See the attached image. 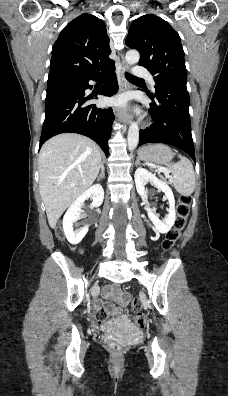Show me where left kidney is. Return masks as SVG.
Segmentation results:
<instances>
[{"instance_id":"left-kidney-1","label":"left kidney","mask_w":228,"mask_h":396,"mask_svg":"<svg viewBox=\"0 0 228 396\" xmlns=\"http://www.w3.org/2000/svg\"><path fill=\"white\" fill-rule=\"evenodd\" d=\"M134 178L137 192L144 201V204H147V191L145 189V185L149 182L165 194L169 202V209L168 214L163 220H160L155 214V210L151 209L148 205L145 206V210L147 211L148 217L154 224L155 228L160 233H167L174 225L176 219L175 199L171 188L166 182L159 180L154 174L141 167L135 171Z\"/></svg>"}]
</instances>
